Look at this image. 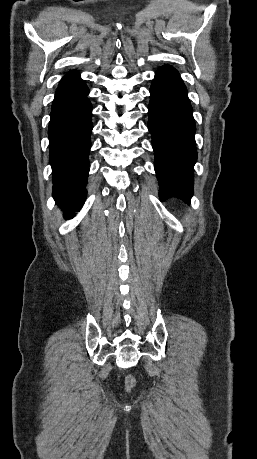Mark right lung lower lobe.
I'll return each instance as SVG.
<instances>
[{
	"instance_id": "obj_1",
	"label": "right lung lower lobe",
	"mask_w": 257,
	"mask_h": 459,
	"mask_svg": "<svg viewBox=\"0 0 257 459\" xmlns=\"http://www.w3.org/2000/svg\"><path fill=\"white\" fill-rule=\"evenodd\" d=\"M88 88L78 74L63 77L56 90L49 123V159L53 197L65 218L84 204L89 172L92 107Z\"/></svg>"
}]
</instances>
